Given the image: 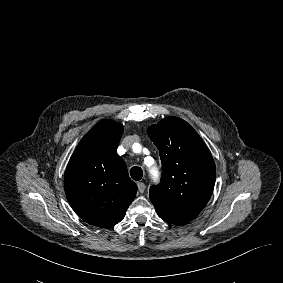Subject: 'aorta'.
<instances>
[{"label":"aorta","instance_id":"762f6f07","mask_svg":"<svg viewBox=\"0 0 283 283\" xmlns=\"http://www.w3.org/2000/svg\"><path fill=\"white\" fill-rule=\"evenodd\" d=\"M151 174H152L153 178H157L158 177V170L156 168H153L151 170Z\"/></svg>","mask_w":283,"mask_h":283}]
</instances>
